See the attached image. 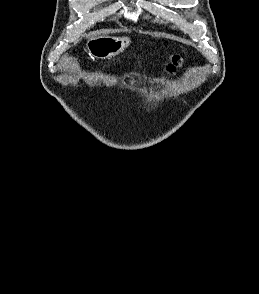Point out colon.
<instances>
[{"mask_svg": "<svg viewBox=\"0 0 259 294\" xmlns=\"http://www.w3.org/2000/svg\"><path fill=\"white\" fill-rule=\"evenodd\" d=\"M182 63V58L179 53H175L170 56L169 62L167 64L166 70L170 73L176 71L178 67H180Z\"/></svg>", "mask_w": 259, "mask_h": 294, "instance_id": "colon-1", "label": "colon"}]
</instances>
